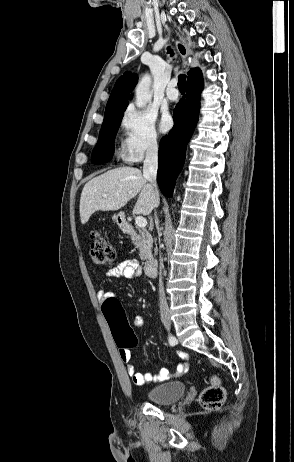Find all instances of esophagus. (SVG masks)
<instances>
[{
	"mask_svg": "<svg viewBox=\"0 0 294 462\" xmlns=\"http://www.w3.org/2000/svg\"><path fill=\"white\" fill-rule=\"evenodd\" d=\"M175 45H176L178 53L180 54L181 58L185 62L187 56L189 55V51L186 45L182 41H176Z\"/></svg>",
	"mask_w": 294,
	"mask_h": 462,
	"instance_id": "34e87169",
	"label": "esophagus"
}]
</instances>
